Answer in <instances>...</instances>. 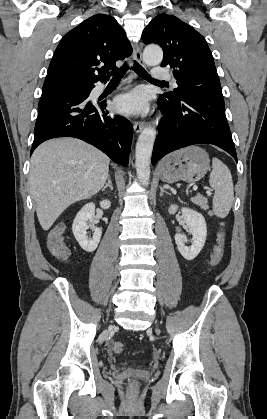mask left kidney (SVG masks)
<instances>
[{"label": "left kidney", "instance_id": "5707ae66", "mask_svg": "<svg viewBox=\"0 0 267 419\" xmlns=\"http://www.w3.org/2000/svg\"><path fill=\"white\" fill-rule=\"evenodd\" d=\"M177 210V205H171L168 212L175 214ZM181 212L189 232L192 234V244L190 247L186 246L185 238L181 234L175 235V242L181 255L186 260H193L204 247L207 235L206 221L202 214L191 208H181Z\"/></svg>", "mask_w": 267, "mask_h": 419}]
</instances>
